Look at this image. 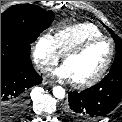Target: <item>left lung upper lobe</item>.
<instances>
[{
  "instance_id": "left-lung-upper-lobe-1",
  "label": "left lung upper lobe",
  "mask_w": 122,
  "mask_h": 122,
  "mask_svg": "<svg viewBox=\"0 0 122 122\" xmlns=\"http://www.w3.org/2000/svg\"><path fill=\"white\" fill-rule=\"evenodd\" d=\"M105 27L108 29L107 26ZM108 30L112 34V37L115 41V47H116V55L111 69L122 67V40L111 29Z\"/></svg>"
}]
</instances>
